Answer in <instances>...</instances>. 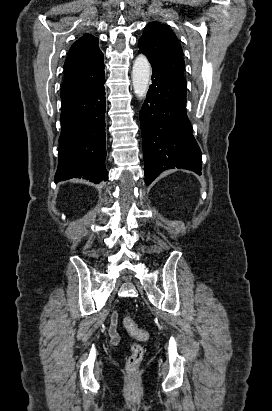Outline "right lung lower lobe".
<instances>
[{
	"label": "right lung lower lobe",
	"instance_id": "right-lung-lower-lobe-1",
	"mask_svg": "<svg viewBox=\"0 0 272 411\" xmlns=\"http://www.w3.org/2000/svg\"><path fill=\"white\" fill-rule=\"evenodd\" d=\"M104 83L105 74L94 87L62 99L56 182L82 177L98 184L108 179Z\"/></svg>",
	"mask_w": 272,
	"mask_h": 411
}]
</instances>
